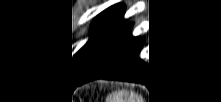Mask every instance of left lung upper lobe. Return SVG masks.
Masks as SVG:
<instances>
[{"label": "left lung upper lobe", "mask_w": 221, "mask_h": 102, "mask_svg": "<svg viewBox=\"0 0 221 102\" xmlns=\"http://www.w3.org/2000/svg\"><path fill=\"white\" fill-rule=\"evenodd\" d=\"M124 6L115 5L100 13L91 26L89 41L78 50L70 64V75L79 76L94 60L98 53L124 25Z\"/></svg>", "instance_id": "5c2ea615"}]
</instances>
